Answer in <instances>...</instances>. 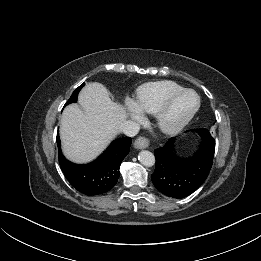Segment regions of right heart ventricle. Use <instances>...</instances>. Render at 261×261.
Instances as JSON below:
<instances>
[{"label":"right heart ventricle","instance_id":"1","mask_svg":"<svg viewBox=\"0 0 261 261\" xmlns=\"http://www.w3.org/2000/svg\"><path fill=\"white\" fill-rule=\"evenodd\" d=\"M181 89L184 88L174 81L150 82L138 89L135 104L140 112L153 115L172 94Z\"/></svg>","mask_w":261,"mask_h":261}]
</instances>
